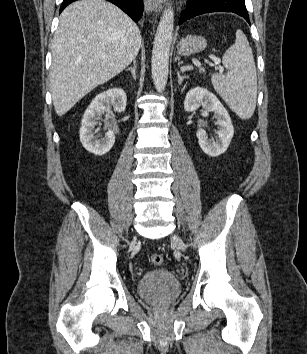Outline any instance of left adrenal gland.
Listing matches in <instances>:
<instances>
[{
    "label": "left adrenal gland",
    "mask_w": 307,
    "mask_h": 354,
    "mask_svg": "<svg viewBox=\"0 0 307 354\" xmlns=\"http://www.w3.org/2000/svg\"><path fill=\"white\" fill-rule=\"evenodd\" d=\"M177 76H178V84H182L184 79H188L187 76H181L179 71H177Z\"/></svg>",
    "instance_id": "left-adrenal-gland-1"
}]
</instances>
